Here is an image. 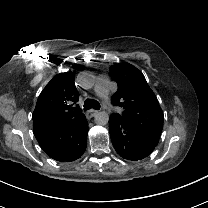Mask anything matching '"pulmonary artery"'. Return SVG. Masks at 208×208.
Masks as SVG:
<instances>
[{"label": "pulmonary artery", "mask_w": 208, "mask_h": 208, "mask_svg": "<svg viewBox=\"0 0 208 208\" xmlns=\"http://www.w3.org/2000/svg\"><path fill=\"white\" fill-rule=\"evenodd\" d=\"M108 83L109 79L106 75L95 76V92L99 94L100 99L107 108H110L113 112H116L118 107L113 104L105 94V92L108 90Z\"/></svg>", "instance_id": "obj_1"}]
</instances>
